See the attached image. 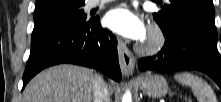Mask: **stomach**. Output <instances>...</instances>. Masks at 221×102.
Segmentation results:
<instances>
[{
	"instance_id": "stomach-1",
	"label": "stomach",
	"mask_w": 221,
	"mask_h": 102,
	"mask_svg": "<svg viewBox=\"0 0 221 102\" xmlns=\"http://www.w3.org/2000/svg\"><path fill=\"white\" fill-rule=\"evenodd\" d=\"M141 89L150 97H162L169 91L167 81L160 75H147L141 81Z\"/></svg>"
}]
</instances>
